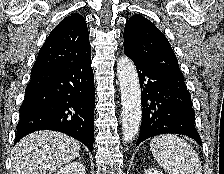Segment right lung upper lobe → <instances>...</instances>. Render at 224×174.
Instances as JSON below:
<instances>
[{"instance_id":"right-lung-upper-lobe-1","label":"right lung upper lobe","mask_w":224,"mask_h":174,"mask_svg":"<svg viewBox=\"0 0 224 174\" xmlns=\"http://www.w3.org/2000/svg\"><path fill=\"white\" fill-rule=\"evenodd\" d=\"M91 57L89 32L80 14L64 18L41 47L32 73Z\"/></svg>"}]
</instances>
